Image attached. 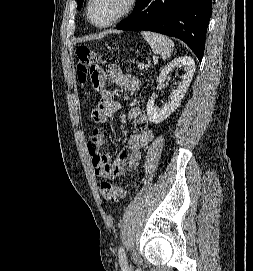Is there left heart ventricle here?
I'll use <instances>...</instances> for the list:
<instances>
[{"label": "left heart ventricle", "mask_w": 253, "mask_h": 271, "mask_svg": "<svg viewBox=\"0 0 253 271\" xmlns=\"http://www.w3.org/2000/svg\"><path fill=\"white\" fill-rule=\"evenodd\" d=\"M127 0H93L91 16L98 24H104L120 14L126 7Z\"/></svg>", "instance_id": "b2bd125f"}]
</instances>
